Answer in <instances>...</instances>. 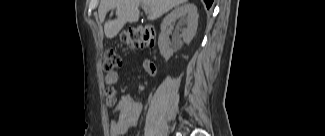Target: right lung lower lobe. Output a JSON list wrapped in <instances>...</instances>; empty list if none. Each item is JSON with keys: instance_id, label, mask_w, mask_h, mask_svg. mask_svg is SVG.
Segmentation results:
<instances>
[{"instance_id": "98d812e1", "label": "right lung lower lobe", "mask_w": 325, "mask_h": 136, "mask_svg": "<svg viewBox=\"0 0 325 136\" xmlns=\"http://www.w3.org/2000/svg\"><path fill=\"white\" fill-rule=\"evenodd\" d=\"M204 2L206 3L207 8L209 9L213 3V0H204Z\"/></svg>"}]
</instances>
